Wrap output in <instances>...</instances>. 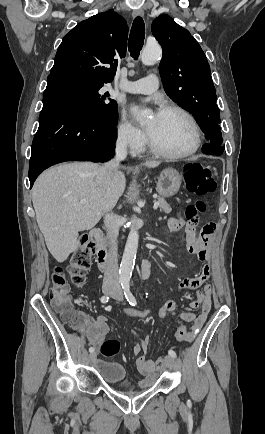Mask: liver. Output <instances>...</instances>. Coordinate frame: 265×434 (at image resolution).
I'll use <instances>...</instances> for the list:
<instances>
[{
  "mask_svg": "<svg viewBox=\"0 0 265 434\" xmlns=\"http://www.w3.org/2000/svg\"><path fill=\"white\" fill-rule=\"evenodd\" d=\"M160 162H145L156 168ZM98 164L74 162L50 168L37 178L32 202L46 246L57 262H65L77 250L78 232L91 230L124 194L123 172L115 170L108 186H101ZM86 200V204H80Z\"/></svg>",
  "mask_w": 265,
  "mask_h": 434,
  "instance_id": "6515ba94",
  "label": "liver"
}]
</instances>
